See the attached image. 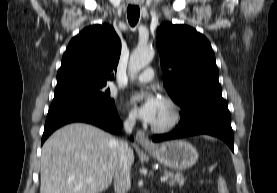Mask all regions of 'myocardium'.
<instances>
[{"label": "myocardium", "mask_w": 277, "mask_h": 193, "mask_svg": "<svg viewBox=\"0 0 277 193\" xmlns=\"http://www.w3.org/2000/svg\"><path fill=\"white\" fill-rule=\"evenodd\" d=\"M171 109V115L168 121L163 124H152L151 128L155 132L164 133L174 129L181 121L182 111L179 104L170 97H164L162 99Z\"/></svg>", "instance_id": "f54148a6"}]
</instances>
